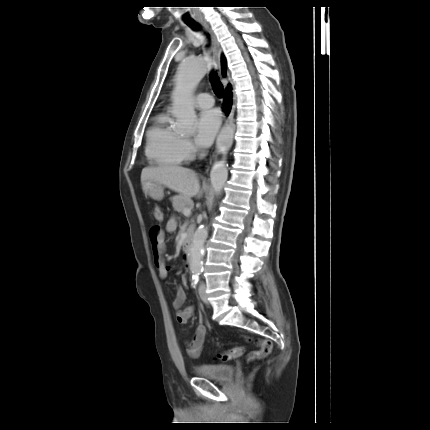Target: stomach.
I'll list each match as a JSON object with an SVG mask.
<instances>
[{
	"mask_svg": "<svg viewBox=\"0 0 430 430\" xmlns=\"http://www.w3.org/2000/svg\"><path fill=\"white\" fill-rule=\"evenodd\" d=\"M142 189L145 194L153 198L154 200H161L164 196L163 184L154 181L146 180L142 183Z\"/></svg>",
	"mask_w": 430,
	"mask_h": 430,
	"instance_id": "stomach-1",
	"label": "stomach"
}]
</instances>
